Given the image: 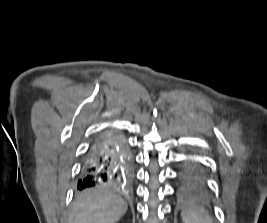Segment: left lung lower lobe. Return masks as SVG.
Here are the masks:
<instances>
[{
  "label": "left lung lower lobe",
  "instance_id": "1",
  "mask_svg": "<svg viewBox=\"0 0 267 223\" xmlns=\"http://www.w3.org/2000/svg\"><path fill=\"white\" fill-rule=\"evenodd\" d=\"M178 175L179 176H184L186 179H190L191 180V179L197 178L198 176H202V171H179Z\"/></svg>",
  "mask_w": 267,
  "mask_h": 223
}]
</instances>
